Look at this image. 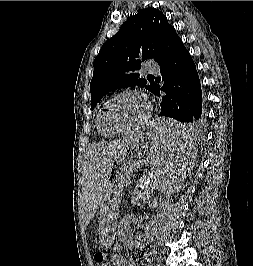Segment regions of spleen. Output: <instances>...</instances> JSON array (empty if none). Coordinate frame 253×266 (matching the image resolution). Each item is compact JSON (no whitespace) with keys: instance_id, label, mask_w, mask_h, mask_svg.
I'll return each mask as SVG.
<instances>
[{"instance_id":"1","label":"spleen","mask_w":253,"mask_h":266,"mask_svg":"<svg viewBox=\"0 0 253 266\" xmlns=\"http://www.w3.org/2000/svg\"><path fill=\"white\" fill-rule=\"evenodd\" d=\"M156 132H166L160 145L152 151L153 160H144L140 167L143 178L136 176L133 190H151L170 193L173 187H182L197 154L195 123H173L172 117H157Z\"/></svg>"}]
</instances>
